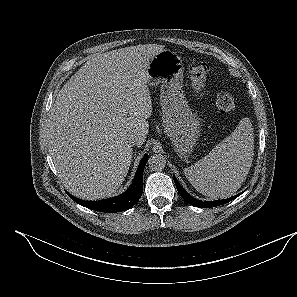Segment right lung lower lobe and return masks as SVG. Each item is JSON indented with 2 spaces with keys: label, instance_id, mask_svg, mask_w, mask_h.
Here are the masks:
<instances>
[{
  "label": "right lung lower lobe",
  "instance_id": "obj_1",
  "mask_svg": "<svg viewBox=\"0 0 297 297\" xmlns=\"http://www.w3.org/2000/svg\"><path fill=\"white\" fill-rule=\"evenodd\" d=\"M148 160V155H145L137 169L135 178L133 180L132 185L128 188L126 192L123 194L108 198L100 201H83L73 197L72 195L68 194L69 197L77 202L78 204L87 207L89 209L100 211V212H107V213H115L125 211L131 207H133L138 200L140 199L142 192H143V170L145 164Z\"/></svg>",
  "mask_w": 297,
  "mask_h": 297
}]
</instances>
